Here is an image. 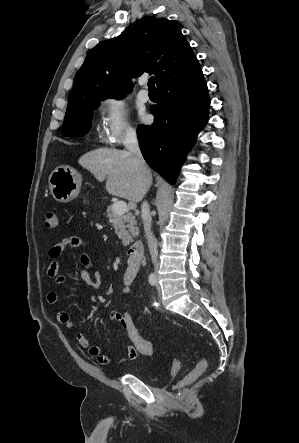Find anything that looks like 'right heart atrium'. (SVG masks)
Returning a JSON list of instances; mask_svg holds the SVG:
<instances>
[{"mask_svg": "<svg viewBox=\"0 0 299 443\" xmlns=\"http://www.w3.org/2000/svg\"><path fill=\"white\" fill-rule=\"evenodd\" d=\"M99 135L108 145H119L135 137L129 110L125 102L116 96L107 97L99 103Z\"/></svg>", "mask_w": 299, "mask_h": 443, "instance_id": "obj_1", "label": "right heart atrium"}]
</instances>
